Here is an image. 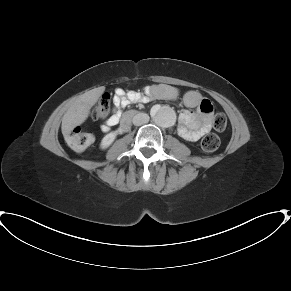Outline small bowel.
Here are the masks:
<instances>
[{"instance_id":"c3829d8e","label":"small bowel","mask_w":291,"mask_h":291,"mask_svg":"<svg viewBox=\"0 0 291 291\" xmlns=\"http://www.w3.org/2000/svg\"><path fill=\"white\" fill-rule=\"evenodd\" d=\"M178 98L176 87L168 84H160L148 87L144 93L137 91H123L116 89L113 97V114L103 125L104 130L119 123L122 109L130 103L144 102L152 99L175 100ZM185 106L195 110H182L179 114L178 133L188 141H197L207 134L212 127V116L208 114L210 102L197 90L185 93L183 97Z\"/></svg>"}]
</instances>
